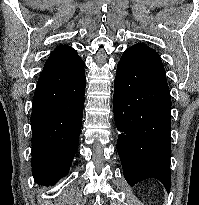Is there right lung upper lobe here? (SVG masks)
I'll use <instances>...</instances> for the list:
<instances>
[{"label":"right lung upper lobe","instance_id":"obj_1","mask_svg":"<svg viewBox=\"0 0 199 205\" xmlns=\"http://www.w3.org/2000/svg\"><path fill=\"white\" fill-rule=\"evenodd\" d=\"M84 70V62L70 46H58L47 59L39 79L47 78L53 86L65 78L73 77ZM53 76V79L52 77Z\"/></svg>","mask_w":199,"mask_h":205}]
</instances>
